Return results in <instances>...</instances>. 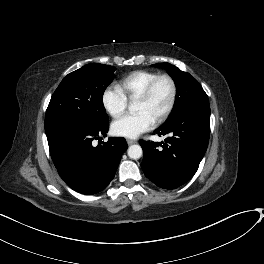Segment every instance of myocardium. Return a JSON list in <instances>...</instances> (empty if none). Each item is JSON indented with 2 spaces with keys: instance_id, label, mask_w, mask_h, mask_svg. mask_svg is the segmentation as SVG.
Listing matches in <instances>:
<instances>
[{
  "instance_id": "obj_1",
  "label": "myocardium",
  "mask_w": 264,
  "mask_h": 264,
  "mask_svg": "<svg viewBox=\"0 0 264 264\" xmlns=\"http://www.w3.org/2000/svg\"><path fill=\"white\" fill-rule=\"evenodd\" d=\"M163 79L169 82L171 86V95H170L169 103L167 107L165 108V110L160 114V116L156 120H154L155 124H160L163 121H165L168 118V116L171 114L175 106L176 99H177V85L173 77L168 74L158 75L146 86V88L142 91V93L136 98L137 101L148 100L151 97L157 83Z\"/></svg>"
}]
</instances>
